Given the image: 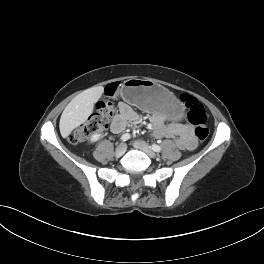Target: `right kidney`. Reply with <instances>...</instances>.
<instances>
[{
	"mask_svg": "<svg viewBox=\"0 0 264 264\" xmlns=\"http://www.w3.org/2000/svg\"><path fill=\"white\" fill-rule=\"evenodd\" d=\"M100 138H101V135H100V134H94V135L91 136V138H90V142H91V143L96 142V141H98Z\"/></svg>",
	"mask_w": 264,
	"mask_h": 264,
	"instance_id": "obj_1",
	"label": "right kidney"
}]
</instances>
